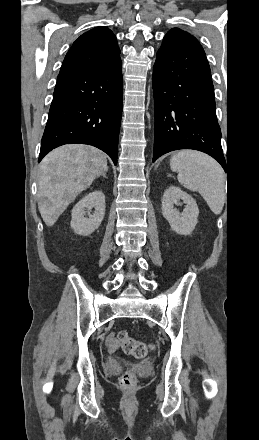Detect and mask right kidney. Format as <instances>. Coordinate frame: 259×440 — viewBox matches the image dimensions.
Here are the masks:
<instances>
[{"instance_id":"right-kidney-1","label":"right kidney","mask_w":259,"mask_h":440,"mask_svg":"<svg viewBox=\"0 0 259 440\" xmlns=\"http://www.w3.org/2000/svg\"><path fill=\"white\" fill-rule=\"evenodd\" d=\"M94 208V213L86 209ZM71 228L78 235L87 236L93 233L101 225L105 215V196L102 191H94L84 196L72 210Z\"/></svg>"}]
</instances>
